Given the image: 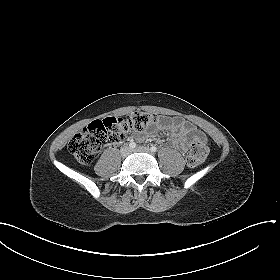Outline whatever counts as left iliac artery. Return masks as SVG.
<instances>
[{"instance_id":"1","label":"left iliac artery","mask_w":280,"mask_h":280,"mask_svg":"<svg viewBox=\"0 0 280 280\" xmlns=\"http://www.w3.org/2000/svg\"><path fill=\"white\" fill-rule=\"evenodd\" d=\"M150 150H151V152H156V151H157V147H156V146H152V147L150 148Z\"/></svg>"}]
</instances>
